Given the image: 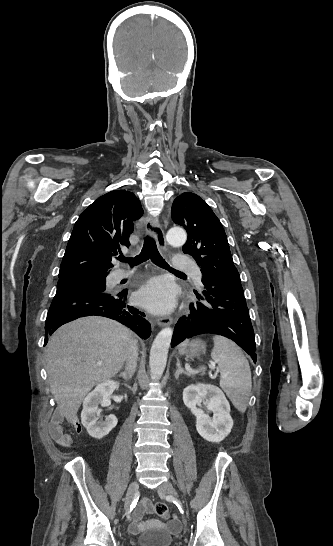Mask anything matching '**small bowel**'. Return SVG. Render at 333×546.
<instances>
[{"label":"small bowel","mask_w":333,"mask_h":546,"mask_svg":"<svg viewBox=\"0 0 333 546\" xmlns=\"http://www.w3.org/2000/svg\"><path fill=\"white\" fill-rule=\"evenodd\" d=\"M63 420L60 417H53L50 422V433L52 438L62 446H69L72 443V437L65 433L62 424ZM76 433H80V424L74 423ZM145 513H152V504L148 499H143L133 514V521L129 527L130 531L137 533L145 527V523L142 522V517ZM170 528H178V523L174 522L170 525Z\"/></svg>","instance_id":"c3829d8e"}]
</instances>
